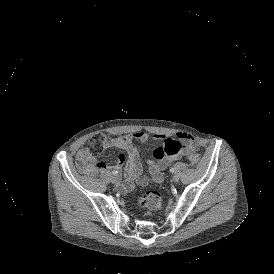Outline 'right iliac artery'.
I'll return each mask as SVG.
<instances>
[{
	"instance_id": "82829eb1",
	"label": "right iliac artery",
	"mask_w": 274,
	"mask_h": 274,
	"mask_svg": "<svg viewBox=\"0 0 274 274\" xmlns=\"http://www.w3.org/2000/svg\"><path fill=\"white\" fill-rule=\"evenodd\" d=\"M112 173H113V175H117L118 174V172L116 170H113Z\"/></svg>"
}]
</instances>
